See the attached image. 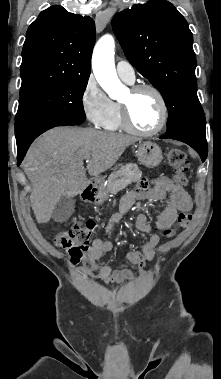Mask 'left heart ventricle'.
Wrapping results in <instances>:
<instances>
[{
  "label": "left heart ventricle",
  "instance_id": "1",
  "mask_svg": "<svg viewBox=\"0 0 221 379\" xmlns=\"http://www.w3.org/2000/svg\"><path fill=\"white\" fill-rule=\"evenodd\" d=\"M122 102L129 107L133 124L141 130L155 128L160 119V107L155 95L149 91H143L136 95L128 92Z\"/></svg>",
  "mask_w": 221,
  "mask_h": 379
}]
</instances>
